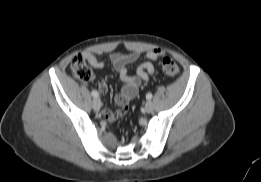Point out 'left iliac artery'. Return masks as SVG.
I'll use <instances>...</instances> for the list:
<instances>
[{
	"mask_svg": "<svg viewBox=\"0 0 261 182\" xmlns=\"http://www.w3.org/2000/svg\"><path fill=\"white\" fill-rule=\"evenodd\" d=\"M146 98H147L148 100L152 99V94H151V93H148V94L146 95Z\"/></svg>",
	"mask_w": 261,
	"mask_h": 182,
	"instance_id": "1",
	"label": "left iliac artery"
}]
</instances>
